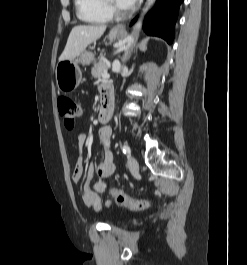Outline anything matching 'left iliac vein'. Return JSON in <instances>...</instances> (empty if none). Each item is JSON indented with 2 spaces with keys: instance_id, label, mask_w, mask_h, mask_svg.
Wrapping results in <instances>:
<instances>
[{
  "instance_id": "4c4485c4",
  "label": "left iliac vein",
  "mask_w": 247,
  "mask_h": 265,
  "mask_svg": "<svg viewBox=\"0 0 247 265\" xmlns=\"http://www.w3.org/2000/svg\"><path fill=\"white\" fill-rule=\"evenodd\" d=\"M127 163H128V166H129L131 171H133V172L138 171V169H139L138 162L134 157L129 156Z\"/></svg>"
}]
</instances>
